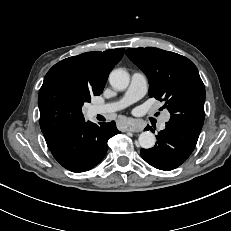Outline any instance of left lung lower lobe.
<instances>
[{
	"label": "left lung lower lobe",
	"instance_id": "0a47b994",
	"mask_svg": "<svg viewBox=\"0 0 231 231\" xmlns=\"http://www.w3.org/2000/svg\"><path fill=\"white\" fill-rule=\"evenodd\" d=\"M152 129L149 125L145 130ZM157 142L153 148L141 149L142 158L160 170H173L180 166L193 152L199 133L189 128L167 122L166 128L156 136Z\"/></svg>",
	"mask_w": 231,
	"mask_h": 231
}]
</instances>
